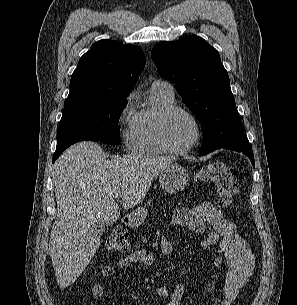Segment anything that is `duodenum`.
I'll return each instance as SVG.
<instances>
[{
    "instance_id": "duodenum-1",
    "label": "duodenum",
    "mask_w": 297,
    "mask_h": 305,
    "mask_svg": "<svg viewBox=\"0 0 297 305\" xmlns=\"http://www.w3.org/2000/svg\"><path fill=\"white\" fill-rule=\"evenodd\" d=\"M124 221H125L126 224H128L130 226H134L137 223V219L132 215L126 216Z\"/></svg>"
}]
</instances>
